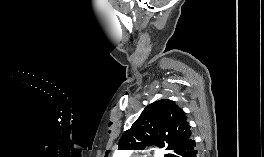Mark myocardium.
Instances as JSON below:
<instances>
[{"instance_id": "myocardium-1", "label": "myocardium", "mask_w": 264, "mask_h": 157, "mask_svg": "<svg viewBox=\"0 0 264 157\" xmlns=\"http://www.w3.org/2000/svg\"><path fill=\"white\" fill-rule=\"evenodd\" d=\"M133 157H144V156H133Z\"/></svg>"}]
</instances>
